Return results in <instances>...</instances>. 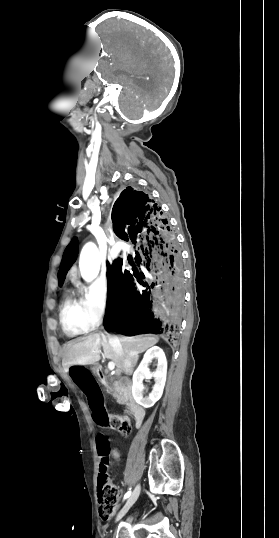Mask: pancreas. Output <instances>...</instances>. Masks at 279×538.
<instances>
[{
    "mask_svg": "<svg viewBox=\"0 0 279 538\" xmlns=\"http://www.w3.org/2000/svg\"><path fill=\"white\" fill-rule=\"evenodd\" d=\"M111 392H113V390H110V392H108V394H111ZM113 398H116L117 402H120V396H118V394H112Z\"/></svg>",
    "mask_w": 279,
    "mask_h": 538,
    "instance_id": "obj_1",
    "label": "pancreas"
}]
</instances>
